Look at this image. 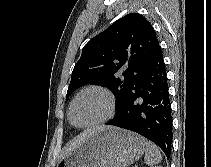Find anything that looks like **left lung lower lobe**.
I'll return each mask as SVG.
<instances>
[{"label": "left lung lower lobe", "instance_id": "obj_1", "mask_svg": "<svg viewBox=\"0 0 211 167\" xmlns=\"http://www.w3.org/2000/svg\"><path fill=\"white\" fill-rule=\"evenodd\" d=\"M107 125L137 132L170 157L173 137L171 103L161 48L126 94L118 114Z\"/></svg>", "mask_w": 211, "mask_h": 167}]
</instances>
